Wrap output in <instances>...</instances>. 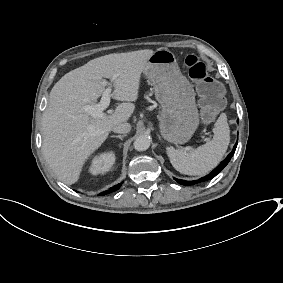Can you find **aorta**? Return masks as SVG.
<instances>
[{"label": "aorta", "instance_id": "1", "mask_svg": "<svg viewBox=\"0 0 283 283\" xmlns=\"http://www.w3.org/2000/svg\"><path fill=\"white\" fill-rule=\"evenodd\" d=\"M150 143H151L150 139L147 136L142 135L135 139L133 145H134L135 150L145 151L150 147Z\"/></svg>", "mask_w": 283, "mask_h": 283}]
</instances>
